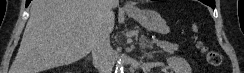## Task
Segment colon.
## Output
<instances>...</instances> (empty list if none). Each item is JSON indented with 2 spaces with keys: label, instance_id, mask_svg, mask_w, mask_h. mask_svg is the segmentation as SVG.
I'll return each mask as SVG.
<instances>
[{
  "label": "colon",
  "instance_id": "5ec220e1",
  "mask_svg": "<svg viewBox=\"0 0 244 73\" xmlns=\"http://www.w3.org/2000/svg\"><path fill=\"white\" fill-rule=\"evenodd\" d=\"M201 50L204 52L206 60L212 66L219 67L223 62L222 54L216 50H209L200 44Z\"/></svg>",
  "mask_w": 244,
  "mask_h": 73
}]
</instances>
